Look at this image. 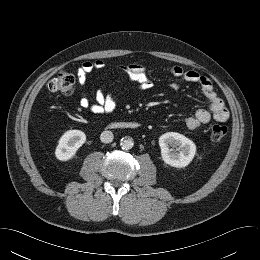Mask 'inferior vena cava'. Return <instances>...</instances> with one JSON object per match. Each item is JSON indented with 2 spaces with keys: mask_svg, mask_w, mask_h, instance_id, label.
Masks as SVG:
<instances>
[{
  "mask_svg": "<svg viewBox=\"0 0 260 260\" xmlns=\"http://www.w3.org/2000/svg\"><path fill=\"white\" fill-rule=\"evenodd\" d=\"M113 133L111 131H103L100 135V140L103 143H110L113 141Z\"/></svg>",
  "mask_w": 260,
  "mask_h": 260,
  "instance_id": "obj_1",
  "label": "inferior vena cava"
}]
</instances>
